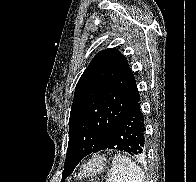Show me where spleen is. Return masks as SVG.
Wrapping results in <instances>:
<instances>
[{
  "label": "spleen",
  "instance_id": "1",
  "mask_svg": "<svg viewBox=\"0 0 196 182\" xmlns=\"http://www.w3.org/2000/svg\"><path fill=\"white\" fill-rule=\"evenodd\" d=\"M106 182H145L141 168L129 157L116 154Z\"/></svg>",
  "mask_w": 196,
  "mask_h": 182
}]
</instances>
